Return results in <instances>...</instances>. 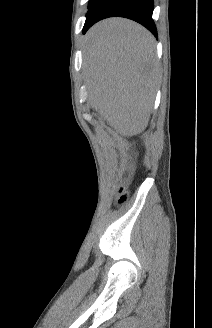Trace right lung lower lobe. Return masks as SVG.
<instances>
[{
  "label": "right lung lower lobe",
  "mask_w": 212,
  "mask_h": 328,
  "mask_svg": "<svg viewBox=\"0 0 212 328\" xmlns=\"http://www.w3.org/2000/svg\"><path fill=\"white\" fill-rule=\"evenodd\" d=\"M153 9V0H98L87 13L83 33L99 20L118 16L142 24L157 36V29L152 19Z\"/></svg>",
  "instance_id": "obj_1"
}]
</instances>
